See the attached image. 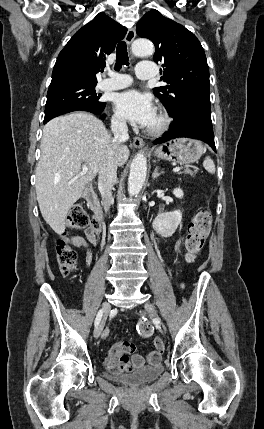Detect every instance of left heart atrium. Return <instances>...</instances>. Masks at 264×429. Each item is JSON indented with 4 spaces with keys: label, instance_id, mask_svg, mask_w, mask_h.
<instances>
[{
    "label": "left heart atrium",
    "instance_id": "left-heart-atrium-1",
    "mask_svg": "<svg viewBox=\"0 0 264 429\" xmlns=\"http://www.w3.org/2000/svg\"><path fill=\"white\" fill-rule=\"evenodd\" d=\"M114 104L117 114L135 125L148 126L156 116L152 98L137 90L117 94Z\"/></svg>",
    "mask_w": 264,
    "mask_h": 429
}]
</instances>
